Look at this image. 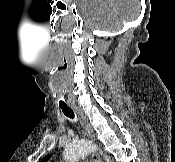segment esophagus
Wrapping results in <instances>:
<instances>
[{"mask_svg": "<svg viewBox=\"0 0 175 162\" xmlns=\"http://www.w3.org/2000/svg\"><path fill=\"white\" fill-rule=\"evenodd\" d=\"M74 110L76 111V113L78 114V116L80 118V122H81V125L83 127L85 134L90 139L93 140L95 136H94L93 130H92L89 122L87 121V119L84 117L83 113L78 108H74ZM92 159L94 160V162H101V159L96 152L92 153Z\"/></svg>", "mask_w": 175, "mask_h": 162, "instance_id": "34e87169", "label": "esophagus"}]
</instances>
